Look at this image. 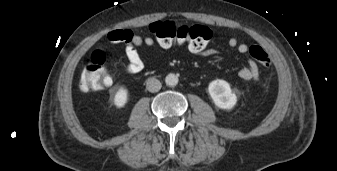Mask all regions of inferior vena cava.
I'll return each mask as SVG.
<instances>
[{
    "instance_id": "602c4592",
    "label": "inferior vena cava",
    "mask_w": 337,
    "mask_h": 171,
    "mask_svg": "<svg viewBox=\"0 0 337 171\" xmlns=\"http://www.w3.org/2000/svg\"><path fill=\"white\" fill-rule=\"evenodd\" d=\"M162 87L161 82L158 79L150 78L146 82V88L150 92H158Z\"/></svg>"
}]
</instances>
